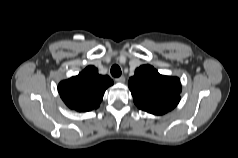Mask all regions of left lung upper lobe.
Returning <instances> with one entry per match:
<instances>
[{
    "label": "left lung upper lobe",
    "mask_w": 238,
    "mask_h": 158,
    "mask_svg": "<svg viewBox=\"0 0 238 158\" xmlns=\"http://www.w3.org/2000/svg\"><path fill=\"white\" fill-rule=\"evenodd\" d=\"M128 86L137 107L151 114H165L180 101V79L161 75L150 65L137 68Z\"/></svg>",
    "instance_id": "5c2ea615"
}]
</instances>
